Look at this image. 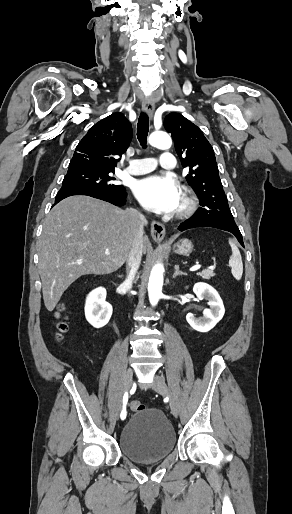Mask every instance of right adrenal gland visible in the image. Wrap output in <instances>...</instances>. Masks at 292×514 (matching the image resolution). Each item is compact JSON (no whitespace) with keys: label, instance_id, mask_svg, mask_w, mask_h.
<instances>
[{"label":"right adrenal gland","instance_id":"1","mask_svg":"<svg viewBox=\"0 0 292 514\" xmlns=\"http://www.w3.org/2000/svg\"><path fill=\"white\" fill-rule=\"evenodd\" d=\"M119 278H123V276H119Z\"/></svg>","mask_w":292,"mask_h":514}]
</instances>
